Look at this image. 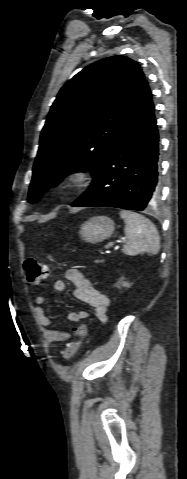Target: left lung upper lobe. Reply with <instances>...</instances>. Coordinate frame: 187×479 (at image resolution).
<instances>
[{"instance_id":"obj_1","label":"left lung upper lobe","mask_w":187,"mask_h":479,"mask_svg":"<svg viewBox=\"0 0 187 479\" xmlns=\"http://www.w3.org/2000/svg\"><path fill=\"white\" fill-rule=\"evenodd\" d=\"M145 79L134 60L116 55L94 62L59 91L43 127L29 201L66 175H92L111 151Z\"/></svg>"}]
</instances>
